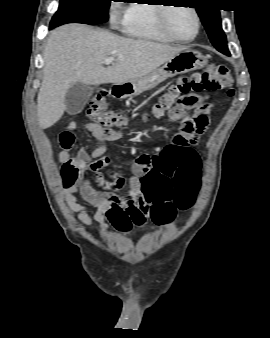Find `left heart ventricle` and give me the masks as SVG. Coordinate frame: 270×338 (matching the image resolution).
Returning <instances> with one entry per match:
<instances>
[{
	"instance_id": "obj_1",
	"label": "left heart ventricle",
	"mask_w": 270,
	"mask_h": 338,
	"mask_svg": "<svg viewBox=\"0 0 270 338\" xmlns=\"http://www.w3.org/2000/svg\"><path fill=\"white\" fill-rule=\"evenodd\" d=\"M169 27L178 38H189L196 30L194 14L187 8L174 7L168 15Z\"/></svg>"
}]
</instances>
